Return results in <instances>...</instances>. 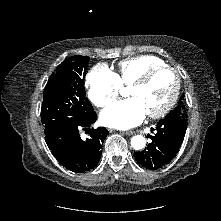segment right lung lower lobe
<instances>
[{"mask_svg":"<svg viewBox=\"0 0 221 221\" xmlns=\"http://www.w3.org/2000/svg\"><path fill=\"white\" fill-rule=\"evenodd\" d=\"M96 119L94 112L81 121L46 133L45 140L51 153L66 169L82 173L97 166L108 130L104 127L92 129L86 140H82L79 134L81 128L88 129Z\"/></svg>","mask_w":221,"mask_h":221,"instance_id":"obj_1","label":"right lung lower lobe"}]
</instances>
